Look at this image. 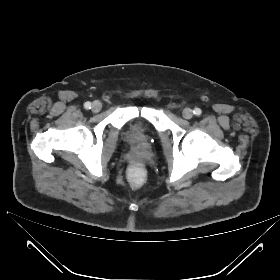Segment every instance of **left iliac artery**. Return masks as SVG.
Instances as JSON below:
<instances>
[{
    "label": "left iliac artery",
    "instance_id": "44dca946",
    "mask_svg": "<svg viewBox=\"0 0 280 280\" xmlns=\"http://www.w3.org/2000/svg\"><path fill=\"white\" fill-rule=\"evenodd\" d=\"M201 109L200 108H195L194 109V111H193V113L195 114V115H197V116H199L200 114H201Z\"/></svg>",
    "mask_w": 280,
    "mask_h": 280
}]
</instances>
